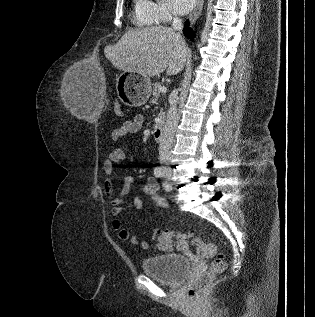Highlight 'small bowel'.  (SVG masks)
<instances>
[{
  "label": "small bowel",
  "instance_id": "1",
  "mask_svg": "<svg viewBox=\"0 0 315 317\" xmlns=\"http://www.w3.org/2000/svg\"><path fill=\"white\" fill-rule=\"evenodd\" d=\"M143 117L136 115L133 119L125 121L123 124L115 127L111 134L113 141H118L130 133H137L143 127ZM126 160V153L121 148H115L103 163V170L106 175L104 182V193L110 198L112 205V228L117 233V236L122 241H129L133 245H139L142 249L146 250L150 247V243L146 240L140 241L138 237L133 236L130 232L123 227L121 221L117 218L121 212L131 208H136L143 211L144 204L142 199L137 195V188L135 179L132 176H125L123 184L118 194L113 192L114 169L115 166L122 164ZM159 184L153 177H147L142 185V192L151 197L153 203L157 208L165 209L168 203L159 195ZM133 194L132 201H126L125 197L128 194ZM158 235L156 229L151 231V239L155 240Z\"/></svg>",
  "mask_w": 315,
  "mask_h": 317
}]
</instances>
